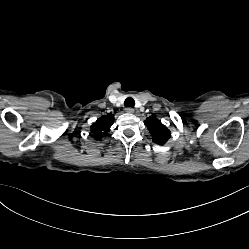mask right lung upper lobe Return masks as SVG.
Instances as JSON below:
<instances>
[{
	"label": "right lung upper lobe",
	"mask_w": 249,
	"mask_h": 249,
	"mask_svg": "<svg viewBox=\"0 0 249 249\" xmlns=\"http://www.w3.org/2000/svg\"><path fill=\"white\" fill-rule=\"evenodd\" d=\"M114 122V115L107 114L100 117L96 123L91 126V132L95 135L96 140H101L109 131Z\"/></svg>",
	"instance_id": "obj_1"
}]
</instances>
